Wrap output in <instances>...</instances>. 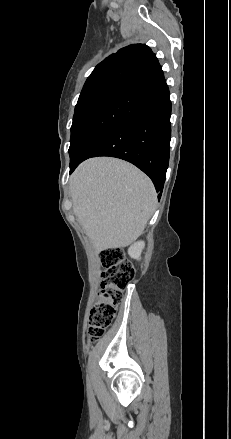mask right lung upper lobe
<instances>
[{
    "mask_svg": "<svg viewBox=\"0 0 231 439\" xmlns=\"http://www.w3.org/2000/svg\"><path fill=\"white\" fill-rule=\"evenodd\" d=\"M162 79L163 71L151 49L144 44L129 45L96 66L76 107L107 95L136 94Z\"/></svg>",
    "mask_w": 231,
    "mask_h": 439,
    "instance_id": "cb5924a9",
    "label": "right lung upper lobe"
}]
</instances>
